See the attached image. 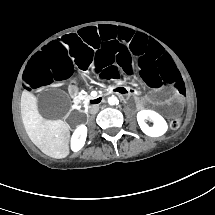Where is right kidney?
Returning <instances> with one entry per match:
<instances>
[{"label": "right kidney", "instance_id": "right-kidney-1", "mask_svg": "<svg viewBox=\"0 0 215 215\" xmlns=\"http://www.w3.org/2000/svg\"><path fill=\"white\" fill-rule=\"evenodd\" d=\"M87 136V127L80 125L72 135L71 138V149L74 152L79 151L85 144Z\"/></svg>", "mask_w": 215, "mask_h": 215}]
</instances>
